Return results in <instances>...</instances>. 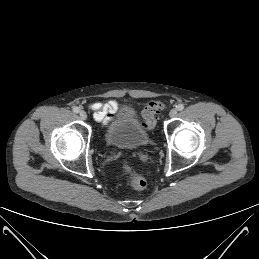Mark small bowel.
Here are the masks:
<instances>
[{"label": "small bowel", "instance_id": "small-bowel-1", "mask_svg": "<svg viewBox=\"0 0 259 259\" xmlns=\"http://www.w3.org/2000/svg\"><path fill=\"white\" fill-rule=\"evenodd\" d=\"M90 109L96 121L107 124L118 110V103L115 100L106 103L94 102L90 104Z\"/></svg>", "mask_w": 259, "mask_h": 259}]
</instances>
